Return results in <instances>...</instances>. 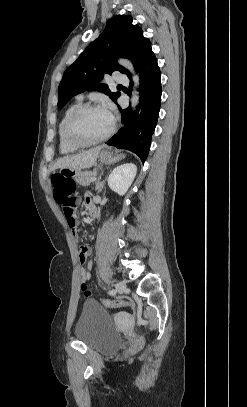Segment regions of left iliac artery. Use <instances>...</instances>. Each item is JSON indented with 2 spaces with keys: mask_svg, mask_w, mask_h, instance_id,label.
I'll use <instances>...</instances> for the list:
<instances>
[{
  "mask_svg": "<svg viewBox=\"0 0 247 407\" xmlns=\"http://www.w3.org/2000/svg\"><path fill=\"white\" fill-rule=\"evenodd\" d=\"M110 295H114L115 293H116V291L115 290H109V292H108Z\"/></svg>",
  "mask_w": 247,
  "mask_h": 407,
  "instance_id": "44dca946",
  "label": "left iliac artery"
}]
</instances>
